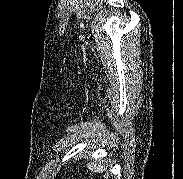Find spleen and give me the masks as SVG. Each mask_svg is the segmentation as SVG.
Wrapping results in <instances>:
<instances>
[{
    "label": "spleen",
    "mask_w": 183,
    "mask_h": 179,
    "mask_svg": "<svg viewBox=\"0 0 183 179\" xmlns=\"http://www.w3.org/2000/svg\"><path fill=\"white\" fill-rule=\"evenodd\" d=\"M87 167L89 170H91L92 172H97V173H103L104 174V178L108 179L110 177L109 172L107 171V169L101 164V162H93V163H89L87 164Z\"/></svg>",
    "instance_id": "3e777b00"
}]
</instances>
